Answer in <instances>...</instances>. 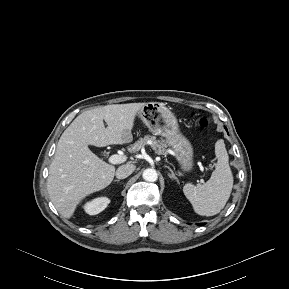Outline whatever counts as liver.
<instances>
[{"instance_id":"liver-1","label":"liver","mask_w":289,"mask_h":289,"mask_svg":"<svg viewBox=\"0 0 289 289\" xmlns=\"http://www.w3.org/2000/svg\"><path fill=\"white\" fill-rule=\"evenodd\" d=\"M145 104H115L84 111L63 132L47 178L49 197L60 215L71 218L82 199L112 182L115 167L88 146L130 143L135 117Z\"/></svg>"}]
</instances>
